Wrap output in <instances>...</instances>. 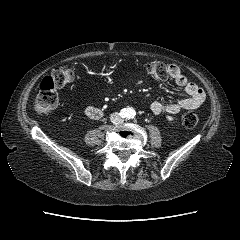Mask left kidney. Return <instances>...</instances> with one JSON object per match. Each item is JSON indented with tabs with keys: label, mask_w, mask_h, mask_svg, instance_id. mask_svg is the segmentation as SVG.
<instances>
[{
	"label": "left kidney",
	"mask_w": 240,
	"mask_h": 240,
	"mask_svg": "<svg viewBox=\"0 0 240 240\" xmlns=\"http://www.w3.org/2000/svg\"><path fill=\"white\" fill-rule=\"evenodd\" d=\"M166 118L169 120V121H172L173 120V117L172 116H166Z\"/></svg>",
	"instance_id": "left-kidney-1"
}]
</instances>
